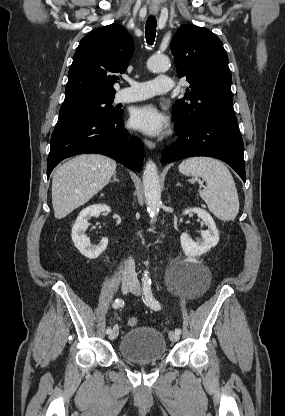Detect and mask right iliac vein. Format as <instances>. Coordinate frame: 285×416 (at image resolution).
Listing matches in <instances>:
<instances>
[{
	"label": "right iliac vein",
	"instance_id": "1",
	"mask_svg": "<svg viewBox=\"0 0 285 416\" xmlns=\"http://www.w3.org/2000/svg\"><path fill=\"white\" fill-rule=\"evenodd\" d=\"M134 283L135 282L132 279L130 280L123 279L122 285H121L122 292L126 294L130 290V288L134 285ZM118 334H119V328H118V325H115L112 331L110 332L108 338L110 340H114L118 336Z\"/></svg>",
	"mask_w": 285,
	"mask_h": 416
}]
</instances>
